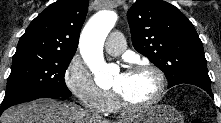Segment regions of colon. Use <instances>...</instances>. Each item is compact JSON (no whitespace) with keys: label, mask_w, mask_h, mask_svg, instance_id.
<instances>
[{"label":"colon","mask_w":221,"mask_h":123,"mask_svg":"<svg viewBox=\"0 0 221 123\" xmlns=\"http://www.w3.org/2000/svg\"><path fill=\"white\" fill-rule=\"evenodd\" d=\"M190 123H204L203 120H201L200 118H193Z\"/></svg>","instance_id":"5ec220e1"}]
</instances>
